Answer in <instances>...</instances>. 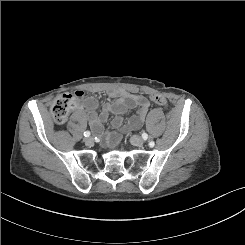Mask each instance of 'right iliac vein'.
<instances>
[{"label": "right iliac vein", "mask_w": 245, "mask_h": 245, "mask_svg": "<svg viewBox=\"0 0 245 245\" xmlns=\"http://www.w3.org/2000/svg\"><path fill=\"white\" fill-rule=\"evenodd\" d=\"M84 142L87 144V145H90L93 143V138L92 137H86L84 138Z\"/></svg>", "instance_id": "right-iliac-vein-1"}]
</instances>
